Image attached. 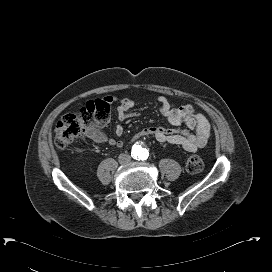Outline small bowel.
Returning <instances> with one entry per match:
<instances>
[{"instance_id": "small-bowel-1", "label": "small bowel", "mask_w": 272, "mask_h": 272, "mask_svg": "<svg viewBox=\"0 0 272 272\" xmlns=\"http://www.w3.org/2000/svg\"><path fill=\"white\" fill-rule=\"evenodd\" d=\"M106 99L111 103L118 102L117 118L120 122L128 117L139 116V113L130 111L135 106V102L131 99L113 95L107 96ZM157 99L160 103V113L171 127L153 126L145 128L134 135L133 141H137L143 136H152L160 143L178 145L187 152H196L199 148L205 146L210 135V124L202 113L195 112L189 104L177 106L168 101L164 95H159ZM182 124L186 125L188 129L195 130L196 133L191 134L188 130L175 128ZM123 133L122 125L118 124L115 129L117 138L110 137L98 129L90 130L88 137L96 143L120 148L124 145V141L120 138Z\"/></svg>"}]
</instances>
